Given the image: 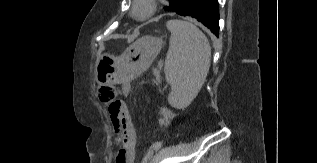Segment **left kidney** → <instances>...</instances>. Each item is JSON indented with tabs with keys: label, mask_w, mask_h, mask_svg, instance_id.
I'll list each match as a JSON object with an SVG mask.
<instances>
[{
	"label": "left kidney",
	"mask_w": 317,
	"mask_h": 163,
	"mask_svg": "<svg viewBox=\"0 0 317 163\" xmlns=\"http://www.w3.org/2000/svg\"><path fill=\"white\" fill-rule=\"evenodd\" d=\"M159 114L162 116L159 119V124L166 127L170 125L171 120L175 117V114L166 107L161 108Z\"/></svg>",
	"instance_id": "obj_1"
}]
</instances>
